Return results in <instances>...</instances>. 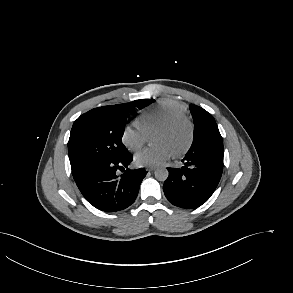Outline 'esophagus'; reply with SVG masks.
I'll list each match as a JSON object with an SVG mask.
<instances>
[{"instance_id": "1", "label": "esophagus", "mask_w": 293, "mask_h": 293, "mask_svg": "<svg viewBox=\"0 0 293 293\" xmlns=\"http://www.w3.org/2000/svg\"><path fill=\"white\" fill-rule=\"evenodd\" d=\"M155 169H156V167H154V166L153 167H146V170L149 172L154 171Z\"/></svg>"}]
</instances>
